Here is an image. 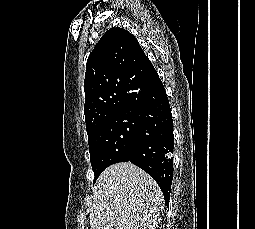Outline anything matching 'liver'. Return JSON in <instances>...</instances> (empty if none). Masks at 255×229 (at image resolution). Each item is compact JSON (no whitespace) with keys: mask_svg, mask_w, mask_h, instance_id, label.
Returning <instances> with one entry per match:
<instances>
[{"mask_svg":"<svg viewBox=\"0 0 255 229\" xmlns=\"http://www.w3.org/2000/svg\"><path fill=\"white\" fill-rule=\"evenodd\" d=\"M163 194L157 183L130 162L111 165L93 189L91 229H154Z\"/></svg>","mask_w":255,"mask_h":229,"instance_id":"liver-1","label":"liver"}]
</instances>
